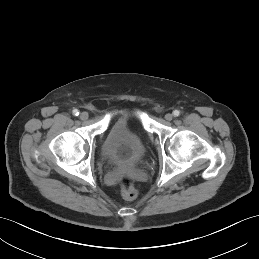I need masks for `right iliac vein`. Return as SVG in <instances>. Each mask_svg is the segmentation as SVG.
Here are the masks:
<instances>
[{
    "label": "right iliac vein",
    "mask_w": 259,
    "mask_h": 259,
    "mask_svg": "<svg viewBox=\"0 0 259 259\" xmlns=\"http://www.w3.org/2000/svg\"><path fill=\"white\" fill-rule=\"evenodd\" d=\"M88 113L87 112H82L81 114H80V119L81 120H87L88 119Z\"/></svg>",
    "instance_id": "right-iliac-vein-1"
}]
</instances>
